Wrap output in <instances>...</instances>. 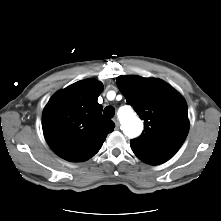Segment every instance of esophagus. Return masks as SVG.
Here are the masks:
<instances>
[{"mask_svg":"<svg viewBox=\"0 0 221 221\" xmlns=\"http://www.w3.org/2000/svg\"><path fill=\"white\" fill-rule=\"evenodd\" d=\"M113 121L115 123L116 129H119V126H120L119 120L117 118H114Z\"/></svg>","mask_w":221,"mask_h":221,"instance_id":"1","label":"esophagus"}]
</instances>
